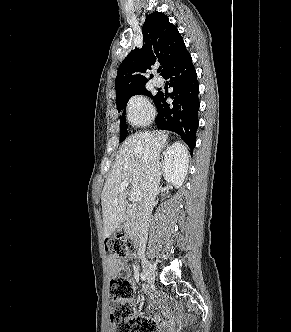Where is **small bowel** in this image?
I'll return each instance as SVG.
<instances>
[{
    "label": "small bowel",
    "mask_w": 291,
    "mask_h": 332,
    "mask_svg": "<svg viewBox=\"0 0 291 332\" xmlns=\"http://www.w3.org/2000/svg\"><path fill=\"white\" fill-rule=\"evenodd\" d=\"M109 266H110V273L111 275L115 276L118 273L125 271H128V266L126 264V262L120 258L117 257H110L109 258ZM155 321H160V317L159 316H155L154 318ZM164 326L166 327H173V322L170 321L168 324H165Z\"/></svg>",
    "instance_id": "obj_1"
}]
</instances>
